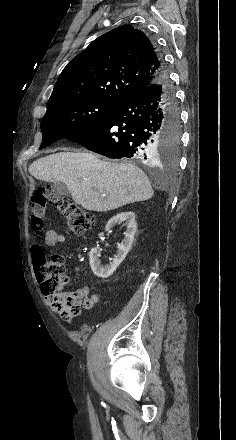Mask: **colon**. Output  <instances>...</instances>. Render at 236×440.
Listing matches in <instances>:
<instances>
[{
    "label": "colon",
    "instance_id": "obj_1",
    "mask_svg": "<svg viewBox=\"0 0 236 440\" xmlns=\"http://www.w3.org/2000/svg\"><path fill=\"white\" fill-rule=\"evenodd\" d=\"M49 205H55L67 222L69 232L83 234L95 224V216L69 199L60 196L53 189L36 190L31 197V226L39 234L45 225V214ZM37 273L42 280V291L60 311L63 319L70 321L79 303L71 298L64 287L69 282L64 259L54 254L49 260L42 258L37 266Z\"/></svg>",
    "mask_w": 236,
    "mask_h": 440
}]
</instances>
